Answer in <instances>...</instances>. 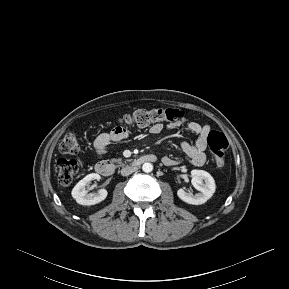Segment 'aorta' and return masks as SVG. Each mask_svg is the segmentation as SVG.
Segmentation results:
<instances>
[{"label": "aorta", "mask_w": 289, "mask_h": 289, "mask_svg": "<svg viewBox=\"0 0 289 289\" xmlns=\"http://www.w3.org/2000/svg\"><path fill=\"white\" fill-rule=\"evenodd\" d=\"M142 170H143L144 172H146V173H149V172H151V171L153 170V165H152L151 163H149V162L144 163V164L142 165Z\"/></svg>", "instance_id": "762f6f07"}]
</instances>
